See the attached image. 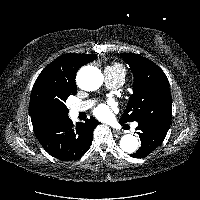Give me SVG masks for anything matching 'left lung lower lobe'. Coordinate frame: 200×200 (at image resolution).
I'll use <instances>...</instances> for the list:
<instances>
[{
  "label": "left lung lower lobe",
  "instance_id": "obj_1",
  "mask_svg": "<svg viewBox=\"0 0 200 200\" xmlns=\"http://www.w3.org/2000/svg\"><path fill=\"white\" fill-rule=\"evenodd\" d=\"M136 129L140 136L141 147L130 156L142 158L155 150L163 142L169 128L151 122H141L138 123Z\"/></svg>",
  "mask_w": 200,
  "mask_h": 200
}]
</instances>
